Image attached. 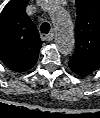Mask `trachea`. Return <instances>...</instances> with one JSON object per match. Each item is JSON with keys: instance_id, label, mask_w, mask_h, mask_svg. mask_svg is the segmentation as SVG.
<instances>
[{"instance_id": "3493384b", "label": "trachea", "mask_w": 100, "mask_h": 118, "mask_svg": "<svg viewBox=\"0 0 100 118\" xmlns=\"http://www.w3.org/2000/svg\"><path fill=\"white\" fill-rule=\"evenodd\" d=\"M50 29H51V27L48 23H43L40 27V31L42 33H49Z\"/></svg>"}]
</instances>
